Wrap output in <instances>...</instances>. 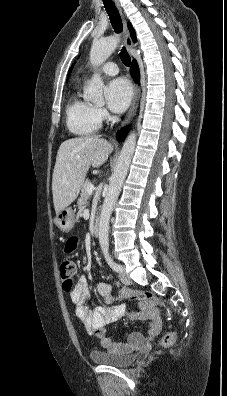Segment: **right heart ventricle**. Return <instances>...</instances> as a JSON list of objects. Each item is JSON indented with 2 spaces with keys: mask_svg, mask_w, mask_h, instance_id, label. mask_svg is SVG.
<instances>
[{
  "mask_svg": "<svg viewBox=\"0 0 227 396\" xmlns=\"http://www.w3.org/2000/svg\"><path fill=\"white\" fill-rule=\"evenodd\" d=\"M95 107L74 92L66 106V124L69 131L78 136L96 132L100 127Z\"/></svg>",
  "mask_w": 227,
  "mask_h": 396,
  "instance_id": "1",
  "label": "right heart ventricle"
}]
</instances>
